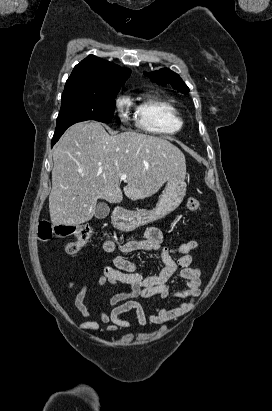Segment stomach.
Returning a JSON list of instances; mask_svg holds the SVG:
<instances>
[{
    "label": "stomach",
    "mask_w": 272,
    "mask_h": 411,
    "mask_svg": "<svg viewBox=\"0 0 272 411\" xmlns=\"http://www.w3.org/2000/svg\"><path fill=\"white\" fill-rule=\"evenodd\" d=\"M186 194L184 178L173 176L166 181L165 189L152 210H121L112 216L113 225L124 232H130L150 222L159 220L173 212Z\"/></svg>",
    "instance_id": "1"
}]
</instances>
